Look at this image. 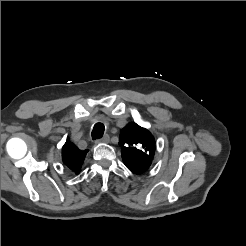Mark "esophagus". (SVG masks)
Listing matches in <instances>:
<instances>
[{"label": "esophagus", "mask_w": 246, "mask_h": 246, "mask_svg": "<svg viewBox=\"0 0 246 246\" xmlns=\"http://www.w3.org/2000/svg\"><path fill=\"white\" fill-rule=\"evenodd\" d=\"M109 136L106 134L102 138L97 139L96 143H108L109 142Z\"/></svg>", "instance_id": "esophagus-1"}]
</instances>
